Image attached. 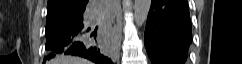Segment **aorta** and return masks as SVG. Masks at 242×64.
I'll return each mask as SVG.
<instances>
[{"mask_svg":"<svg viewBox=\"0 0 242 64\" xmlns=\"http://www.w3.org/2000/svg\"><path fill=\"white\" fill-rule=\"evenodd\" d=\"M151 0H135L134 18L138 27H141L147 20L150 11Z\"/></svg>","mask_w":242,"mask_h":64,"instance_id":"aorta-1","label":"aorta"}]
</instances>
